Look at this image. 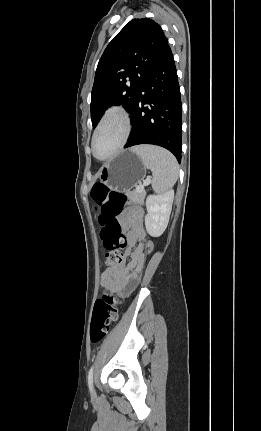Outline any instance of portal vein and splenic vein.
<instances>
[{
    "mask_svg": "<svg viewBox=\"0 0 261 431\" xmlns=\"http://www.w3.org/2000/svg\"><path fill=\"white\" fill-rule=\"evenodd\" d=\"M150 182H151L150 178H147V179L144 181V183H143L142 185H139V186L136 188V190H137L138 192L143 191V190H144V186H145V185H148Z\"/></svg>",
    "mask_w": 261,
    "mask_h": 431,
    "instance_id": "obj_1",
    "label": "portal vein and splenic vein"
}]
</instances>
